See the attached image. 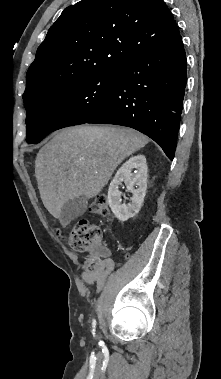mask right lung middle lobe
I'll return each mask as SVG.
<instances>
[{"label": "right lung middle lobe", "instance_id": "obj_1", "mask_svg": "<svg viewBox=\"0 0 221 379\" xmlns=\"http://www.w3.org/2000/svg\"><path fill=\"white\" fill-rule=\"evenodd\" d=\"M117 75L118 69H111L75 78L24 103L27 143H38L52 131L95 115L110 100Z\"/></svg>", "mask_w": 221, "mask_h": 379}]
</instances>
